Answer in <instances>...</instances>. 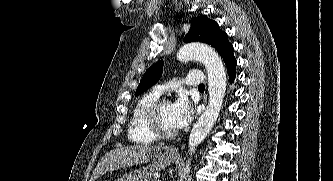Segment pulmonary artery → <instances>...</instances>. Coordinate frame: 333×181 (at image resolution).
I'll list each match as a JSON object with an SVG mask.
<instances>
[{
  "label": "pulmonary artery",
  "mask_w": 333,
  "mask_h": 181,
  "mask_svg": "<svg viewBox=\"0 0 333 181\" xmlns=\"http://www.w3.org/2000/svg\"><path fill=\"white\" fill-rule=\"evenodd\" d=\"M204 80V75L200 71L196 72H190L187 74L185 80L183 81L184 84L188 86H198L200 85ZM167 89L166 86L160 85L155 87L154 92L157 93L158 95H161L163 92H165Z\"/></svg>",
  "instance_id": "1"
}]
</instances>
